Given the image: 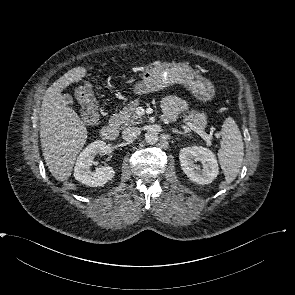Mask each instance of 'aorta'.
Segmentation results:
<instances>
[{"label":"aorta","instance_id":"762f6f07","mask_svg":"<svg viewBox=\"0 0 295 295\" xmlns=\"http://www.w3.org/2000/svg\"><path fill=\"white\" fill-rule=\"evenodd\" d=\"M159 140L158 133L155 130H148L145 133V141L148 144H155Z\"/></svg>","mask_w":295,"mask_h":295}]
</instances>
